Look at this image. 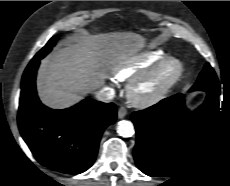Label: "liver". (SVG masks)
<instances>
[{"instance_id": "6515ba94", "label": "liver", "mask_w": 230, "mask_h": 186, "mask_svg": "<svg viewBox=\"0 0 230 186\" xmlns=\"http://www.w3.org/2000/svg\"><path fill=\"white\" fill-rule=\"evenodd\" d=\"M70 41L43 59L38 71V95L50 108H68L101 87L107 67L135 53L145 40L135 33H106Z\"/></svg>"}]
</instances>
